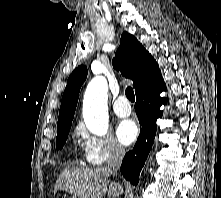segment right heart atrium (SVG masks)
Wrapping results in <instances>:
<instances>
[{
    "instance_id": "1",
    "label": "right heart atrium",
    "mask_w": 221,
    "mask_h": 198,
    "mask_svg": "<svg viewBox=\"0 0 221 198\" xmlns=\"http://www.w3.org/2000/svg\"><path fill=\"white\" fill-rule=\"evenodd\" d=\"M83 140V154L91 166H100L110 161H118L125 155V149L110 135L96 136L80 129Z\"/></svg>"
}]
</instances>
